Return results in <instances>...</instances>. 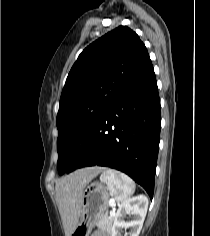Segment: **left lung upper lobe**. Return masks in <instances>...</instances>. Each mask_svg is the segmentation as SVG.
<instances>
[{"label":"left lung upper lobe","mask_w":210,"mask_h":236,"mask_svg":"<svg viewBox=\"0 0 210 236\" xmlns=\"http://www.w3.org/2000/svg\"><path fill=\"white\" fill-rule=\"evenodd\" d=\"M150 62L139 36L126 26L108 32L86 47L62 90L58 128V172L64 174L85 140L119 92Z\"/></svg>","instance_id":"obj_1"}]
</instances>
